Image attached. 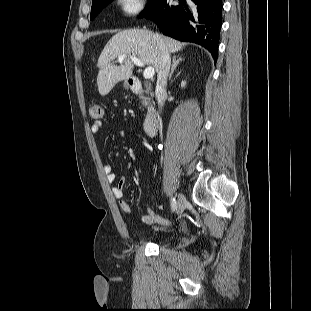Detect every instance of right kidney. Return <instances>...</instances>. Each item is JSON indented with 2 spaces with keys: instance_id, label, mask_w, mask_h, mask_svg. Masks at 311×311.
<instances>
[{
  "instance_id": "right-kidney-1",
  "label": "right kidney",
  "mask_w": 311,
  "mask_h": 311,
  "mask_svg": "<svg viewBox=\"0 0 311 311\" xmlns=\"http://www.w3.org/2000/svg\"><path fill=\"white\" fill-rule=\"evenodd\" d=\"M185 84H186V82H185V81H182V83H181V87H184V86H185Z\"/></svg>"
}]
</instances>
